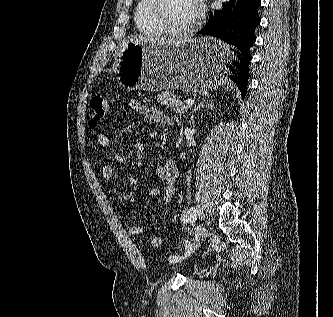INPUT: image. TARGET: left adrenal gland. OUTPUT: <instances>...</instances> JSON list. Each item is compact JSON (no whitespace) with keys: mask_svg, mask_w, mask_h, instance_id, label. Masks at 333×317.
I'll list each match as a JSON object with an SVG mask.
<instances>
[{"mask_svg":"<svg viewBox=\"0 0 333 317\" xmlns=\"http://www.w3.org/2000/svg\"><path fill=\"white\" fill-rule=\"evenodd\" d=\"M213 104L208 103V100H202L198 103V105L196 107H194L191 112L189 113V115L187 117H189L190 115H192L195 111L203 109V108H212Z\"/></svg>","mask_w":333,"mask_h":317,"instance_id":"obj_1","label":"left adrenal gland"}]
</instances>
